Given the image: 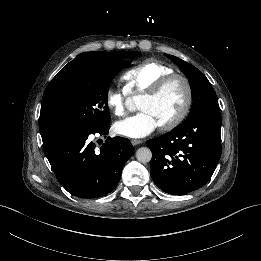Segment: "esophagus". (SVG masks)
<instances>
[{
	"instance_id": "1",
	"label": "esophagus",
	"mask_w": 261,
	"mask_h": 261,
	"mask_svg": "<svg viewBox=\"0 0 261 261\" xmlns=\"http://www.w3.org/2000/svg\"><path fill=\"white\" fill-rule=\"evenodd\" d=\"M131 143H132L133 146H136V145L141 144L142 140H140V139H132Z\"/></svg>"
}]
</instances>
